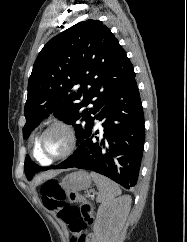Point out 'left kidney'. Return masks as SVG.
I'll use <instances>...</instances> for the list:
<instances>
[{
	"label": "left kidney",
	"mask_w": 187,
	"mask_h": 242,
	"mask_svg": "<svg viewBox=\"0 0 187 242\" xmlns=\"http://www.w3.org/2000/svg\"><path fill=\"white\" fill-rule=\"evenodd\" d=\"M131 202V197L124 195L99 206L94 224L98 242L116 241L129 214Z\"/></svg>",
	"instance_id": "5707ae66"
}]
</instances>
